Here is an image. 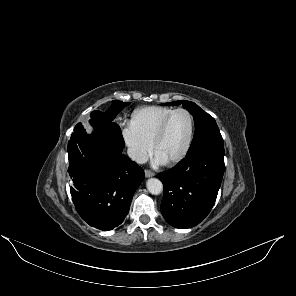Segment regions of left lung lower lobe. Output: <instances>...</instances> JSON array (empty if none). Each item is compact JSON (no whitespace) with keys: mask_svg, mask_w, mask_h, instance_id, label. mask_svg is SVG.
<instances>
[{"mask_svg":"<svg viewBox=\"0 0 296 296\" xmlns=\"http://www.w3.org/2000/svg\"><path fill=\"white\" fill-rule=\"evenodd\" d=\"M224 145L187 155L173 169L160 173L164 186L161 212L175 228L200 223L212 209L224 174Z\"/></svg>","mask_w":296,"mask_h":296,"instance_id":"obj_1","label":"left lung lower lobe"}]
</instances>
